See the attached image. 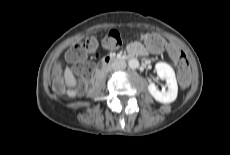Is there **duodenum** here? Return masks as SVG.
Wrapping results in <instances>:
<instances>
[{
  "label": "duodenum",
  "instance_id": "410a0bca",
  "mask_svg": "<svg viewBox=\"0 0 230 155\" xmlns=\"http://www.w3.org/2000/svg\"><path fill=\"white\" fill-rule=\"evenodd\" d=\"M135 55L136 54L134 52L128 51L127 54L121 56H106L99 65L97 77H100L111 64L119 61L128 60Z\"/></svg>",
  "mask_w": 230,
  "mask_h": 155
}]
</instances>
